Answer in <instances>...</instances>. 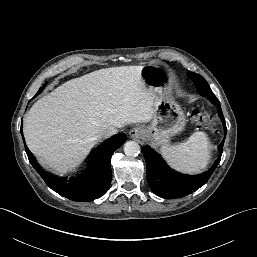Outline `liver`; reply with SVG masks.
<instances>
[{
    "instance_id": "obj_1",
    "label": "liver",
    "mask_w": 257,
    "mask_h": 257,
    "mask_svg": "<svg viewBox=\"0 0 257 257\" xmlns=\"http://www.w3.org/2000/svg\"><path fill=\"white\" fill-rule=\"evenodd\" d=\"M156 98L139 66L93 71L31 107L23 123L26 144L44 166L67 173L85 160L104 131L151 121Z\"/></svg>"
}]
</instances>
